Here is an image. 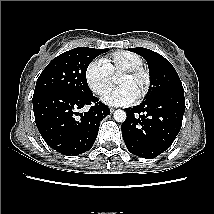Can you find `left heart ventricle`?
Segmentation results:
<instances>
[{
	"label": "left heart ventricle",
	"instance_id": "1",
	"mask_svg": "<svg viewBox=\"0 0 214 214\" xmlns=\"http://www.w3.org/2000/svg\"><path fill=\"white\" fill-rule=\"evenodd\" d=\"M118 84L120 86L130 87L133 91L139 94L141 85L138 79L132 78L127 75H121L118 79Z\"/></svg>",
	"mask_w": 214,
	"mask_h": 214
}]
</instances>
